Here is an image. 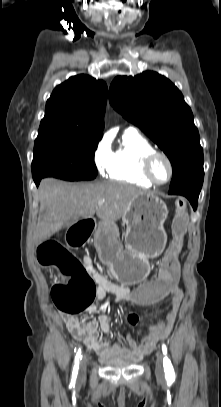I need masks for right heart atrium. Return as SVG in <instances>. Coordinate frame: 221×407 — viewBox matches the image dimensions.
I'll list each match as a JSON object with an SVG mask.
<instances>
[{
  "mask_svg": "<svg viewBox=\"0 0 221 407\" xmlns=\"http://www.w3.org/2000/svg\"><path fill=\"white\" fill-rule=\"evenodd\" d=\"M111 157V143L109 139L103 138L97 143L93 154V161L100 175L105 176L109 172Z\"/></svg>",
  "mask_w": 221,
  "mask_h": 407,
  "instance_id": "obj_1",
  "label": "right heart atrium"
}]
</instances>
